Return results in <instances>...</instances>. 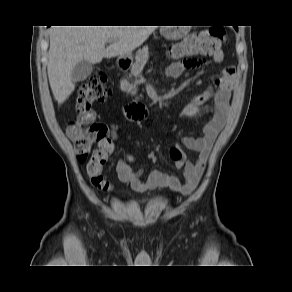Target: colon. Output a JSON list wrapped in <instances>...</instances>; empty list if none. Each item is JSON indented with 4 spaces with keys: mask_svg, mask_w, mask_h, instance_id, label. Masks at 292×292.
I'll return each mask as SVG.
<instances>
[{
    "mask_svg": "<svg viewBox=\"0 0 292 292\" xmlns=\"http://www.w3.org/2000/svg\"><path fill=\"white\" fill-rule=\"evenodd\" d=\"M226 41L225 30L221 27H211L189 35L182 42L174 45L170 55L174 59L191 56L212 55ZM107 79L102 74L92 76L78 91L76 99V119L70 121L66 133L73 141L77 159L80 163H87V173L91 184L101 191H110L111 184L103 177V167L111 155L114 144L113 132L97 122L93 104L103 102L110 95L106 86ZM98 148L92 151L93 144ZM170 156L173 160L183 157L181 150L172 148ZM148 159L157 162L159 153L155 150L148 152Z\"/></svg>",
    "mask_w": 292,
    "mask_h": 292,
    "instance_id": "obj_1",
    "label": "colon"
}]
</instances>
